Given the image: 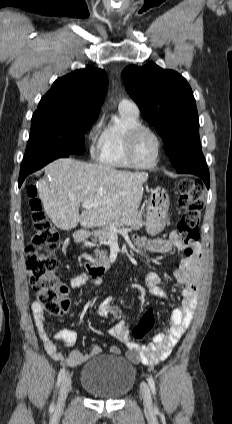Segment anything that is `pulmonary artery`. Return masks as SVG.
Returning <instances> with one entry per match:
<instances>
[{"label": "pulmonary artery", "instance_id": "pulmonary-artery-1", "mask_svg": "<svg viewBox=\"0 0 232 424\" xmlns=\"http://www.w3.org/2000/svg\"><path fill=\"white\" fill-rule=\"evenodd\" d=\"M118 107H119V109L132 110V111H135V112H138L139 113L138 106L134 102H132V101H130L128 99H122L119 102V106Z\"/></svg>", "mask_w": 232, "mask_h": 424}]
</instances>
